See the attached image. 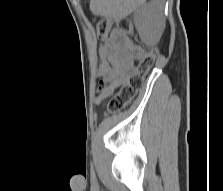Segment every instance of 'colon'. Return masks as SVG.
<instances>
[{"label":"colon","instance_id":"5ec220e1","mask_svg":"<svg viewBox=\"0 0 223 191\" xmlns=\"http://www.w3.org/2000/svg\"><path fill=\"white\" fill-rule=\"evenodd\" d=\"M116 25L119 30L126 35H132L134 32V27L128 19H117ZM110 27L111 20L108 18H102L97 24V33L99 38H105ZM157 54L158 52L156 49H150L140 60L136 68V73L132 75L119 92L110 99L108 103V111L110 113L120 112L136 96L143 86L144 77L150 71L155 62ZM97 69L100 73H105L106 70H110V63L105 56L97 57Z\"/></svg>","mask_w":223,"mask_h":191}]
</instances>
